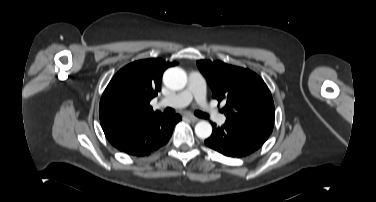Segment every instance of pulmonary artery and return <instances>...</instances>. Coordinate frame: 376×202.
Masks as SVG:
<instances>
[{
    "mask_svg": "<svg viewBox=\"0 0 376 202\" xmlns=\"http://www.w3.org/2000/svg\"><path fill=\"white\" fill-rule=\"evenodd\" d=\"M195 100L201 111L207 114L211 119L223 124L226 117L212 107L206 99V88L204 77L197 71L189 75L188 86L176 95L161 100L160 105H169L172 107L187 106L192 100Z\"/></svg>",
    "mask_w": 376,
    "mask_h": 202,
    "instance_id": "1",
    "label": "pulmonary artery"
}]
</instances>
